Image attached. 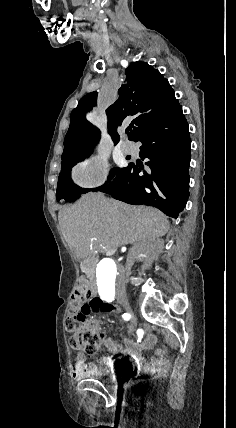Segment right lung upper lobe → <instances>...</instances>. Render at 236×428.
Wrapping results in <instances>:
<instances>
[{"mask_svg":"<svg viewBox=\"0 0 236 428\" xmlns=\"http://www.w3.org/2000/svg\"><path fill=\"white\" fill-rule=\"evenodd\" d=\"M127 84L119 90V99L108 107L106 114L109 120V134L116 143L119 140L117 127L129 116L136 125L128 138L134 135L149 122L167 115L179 103L174 90L167 79L158 70L145 62H133L126 69ZM97 102V92L82 97L70 115V126L64 139L62 168L66 169L73 162L88 156L100 138V131L85 119Z\"/></svg>","mask_w":236,"mask_h":428,"instance_id":"obj_1","label":"right lung upper lobe"}]
</instances>
